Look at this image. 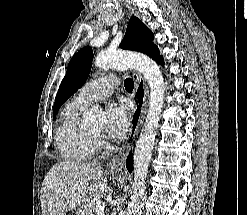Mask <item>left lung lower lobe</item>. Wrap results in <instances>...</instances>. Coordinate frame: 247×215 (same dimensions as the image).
I'll use <instances>...</instances> for the list:
<instances>
[{"label": "left lung lower lobe", "mask_w": 247, "mask_h": 215, "mask_svg": "<svg viewBox=\"0 0 247 215\" xmlns=\"http://www.w3.org/2000/svg\"><path fill=\"white\" fill-rule=\"evenodd\" d=\"M151 58L154 59L156 62L163 65V57L160 55L159 50L157 49L152 55Z\"/></svg>", "instance_id": "0a47b994"}]
</instances>
